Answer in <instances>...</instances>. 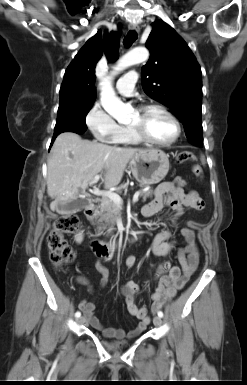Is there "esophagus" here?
<instances>
[{"mask_svg":"<svg viewBox=\"0 0 247 385\" xmlns=\"http://www.w3.org/2000/svg\"><path fill=\"white\" fill-rule=\"evenodd\" d=\"M129 30H133V31L139 32L140 28L136 24H131V25H129Z\"/></svg>","mask_w":247,"mask_h":385,"instance_id":"34e87169","label":"esophagus"}]
</instances>
